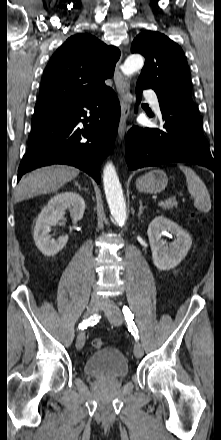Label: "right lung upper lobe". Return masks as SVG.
Masks as SVG:
<instances>
[{
    "label": "right lung upper lobe",
    "mask_w": 221,
    "mask_h": 440,
    "mask_svg": "<svg viewBox=\"0 0 221 440\" xmlns=\"http://www.w3.org/2000/svg\"><path fill=\"white\" fill-rule=\"evenodd\" d=\"M120 52L96 37L73 35L57 49L43 73L36 106L68 99L96 96L109 89Z\"/></svg>",
    "instance_id": "obj_1"
}]
</instances>
